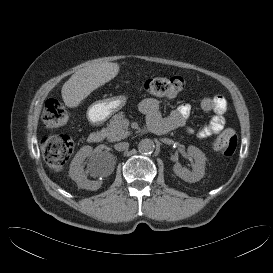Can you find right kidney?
<instances>
[{
	"label": "right kidney",
	"mask_w": 273,
	"mask_h": 273,
	"mask_svg": "<svg viewBox=\"0 0 273 273\" xmlns=\"http://www.w3.org/2000/svg\"><path fill=\"white\" fill-rule=\"evenodd\" d=\"M92 154V147L85 146L81 148L75 157L73 158L70 169H69V176L72 180H74L78 186L81 188L89 189V190H96L98 187L93 185L92 183L88 182L86 175L83 171V162L87 157H90ZM90 169L93 168H101V163L97 161V159H93L90 163Z\"/></svg>",
	"instance_id": "1"
}]
</instances>
